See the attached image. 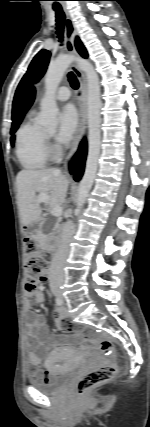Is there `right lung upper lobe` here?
<instances>
[{"instance_id":"right-lung-upper-lobe-1","label":"right lung upper lobe","mask_w":150,"mask_h":427,"mask_svg":"<svg viewBox=\"0 0 150 427\" xmlns=\"http://www.w3.org/2000/svg\"><path fill=\"white\" fill-rule=\"evenodd\" d=\"M75 46L77 51L80 53V55L86 58L87 52L78 38L75 41ZM34 96H35V90L32 86H29L23 95L18 113L16 117H14L13 125L22 121L25 113L27 112V110L30 108V106L34 101Z\"/></svg>"}]
</instances>
